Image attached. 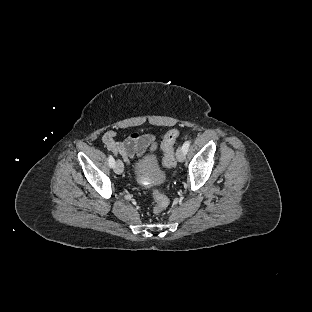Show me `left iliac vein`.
<instances>
[{"instance_id": "left-iliac-vein-1", "label": "left iliac vein", "mask_w": 312, "mask_h": 312, "mask_svg": "<svg viewBox=\"0 0 312 312\" xmlns=\"http://www.w3.org/2000/svg\"><path fill=\"white\" fill-rule=\"evenodd\" d=\"M177 160L183 162L185 160V151L182 148H179L176 153Z\"/></svg>"}]
</instances>
